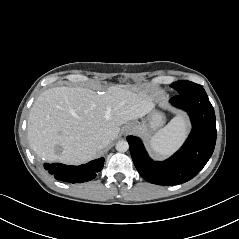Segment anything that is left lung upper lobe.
I'll list each match as a JSON object with an SVG mask.
<instances>
[{
  "mask_svg": "<svg viewBox=\"0 0 239 239\" xmlns=\"http://www.w3.org/2000/svg\"><path fill=\"white\" fill-rule=\"evenodd\" d=\"M171 87L173 89H175L178 92V94H185V93L192 92L197 89L203 88L201 85H198L196 83H193V82L187 81V80L177 81V82L171 84Z\"/></svg>",
  "mask_w": 239,
  "mask_h": 239,
  "instance_id": "left-lung-upper-lobe-1",
  "label": "left lung upper lobe"
}]
</instances>
